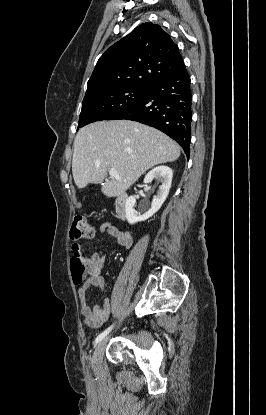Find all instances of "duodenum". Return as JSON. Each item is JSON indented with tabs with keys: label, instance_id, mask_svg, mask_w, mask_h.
<instances>
[{
	"label": "duodenum",
	"instance_id": "obj_1",
	"mask_svg": "<svg viewBox=\"0 0 266 415\" xmlns=\"http://www.w3.org/2000/svg\"><path fill=\"white\" fill-rule=\"evenodd\" d=\"M127 195L120 193L115 199V211L119 218L125 219L127 213Z\"/></svg>",
	"mask_w": 266,
	"mask_h": 415
}]
</instances>
